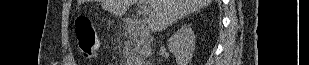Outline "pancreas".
Wrapping results in <instances>:
<instances>
[{"instance_id": "obj_1", "label": "pancreas", "mask_w": 309, "mask_h": 65, "mask_svg": "<svg viewBox=\"0 0 309 65\" xmlns=\"http://www.w3.org/2000/svg\"><path fill=\"white\" fill-rule=\"evenodd\" d=\"M132 46H133V49L131 51V54L136 57V56H138V54H140V52L143 48H142L141 44L139 45V42H138V45H137V43H134Z\"/></svg>"}]
</instances>
